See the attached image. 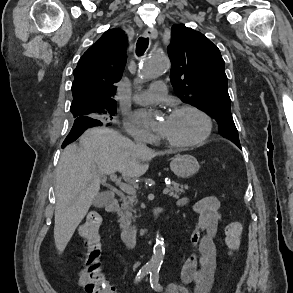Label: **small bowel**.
Segmentation results:
<instances>
[{
  "label": "small bowel",
  "instance_id": "c3829d8e",
  "mask_svg": "<svg viewBox=\"0 0 293 293\" xmlns=\"http://www.w3.org/2000/svg\"><path fill=\"white\" fill-rule=\"evenodd\" d=\"M180 207L188 205V199L178 202ZM220 202L215 196H206L192 206L197 215L190 241L194 252L185 261L181 271L182 284L168 287L169 293H209L215 277L217 253L216 235L221 222ZM193 284L192 289L185 285Z\"/></svg>",
  "mask_w": 293,
  "mask_h": 293
}]
</instances>
